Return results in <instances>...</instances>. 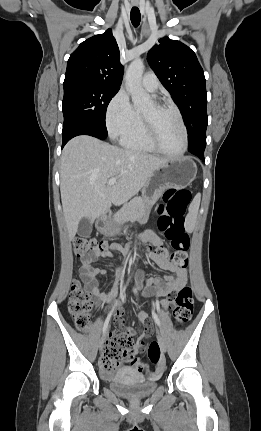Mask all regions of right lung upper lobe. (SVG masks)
I'll list each match as a JSON object with an SVG mask.
<instances>
[{"label":"right lung upper lobe","mask_w":261,"mask_h":431,"mask_svg":"<svg viewBox=\"0 0 261 431\" xmlns=\"http://www.w3.org/2000/svg\"><path fill=\"white\" fill-rule=\"evenodd\" d=\"M122 77L120 52L111 29L82 42L70 55L65 74V80L84 78L113 88H120Z\"/></svg>","instance_id":"1"}]
</instances>
